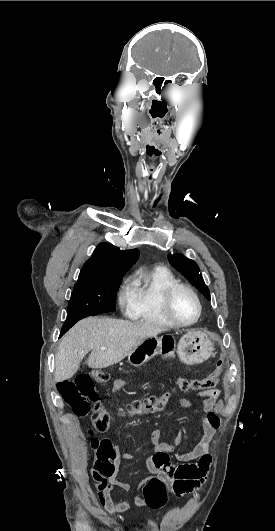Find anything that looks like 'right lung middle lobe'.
<instances>
[{
    "instance_id": "right-lung-middle-lobe-1",
    "label": "right lung middle lobe",
    "mask_w": 275,
    "mask_h": 531,
    "mask_svg": "<svg viewBox=\"0 0 275 531\" xmlns=\"http://www.w3.org/2000/svg\"><path fill=\"white\" fill-rule=\"evenodd\" d=\"M121 282L122 277L78 279L62 331H68L84 317L115 311L116 292Z\"/></svg>"
}]
</instances>
